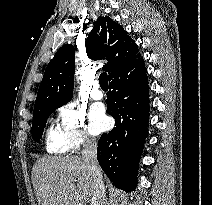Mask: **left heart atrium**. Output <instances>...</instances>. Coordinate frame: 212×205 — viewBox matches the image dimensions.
<instances>
[{"instance_id":"39dd6f15","label":"left heart atrium","mask_w":212,"mask_h":205,"mask_svg":"<svg viewBox=\"0 0 212 205\" xmlns=\"http://www.w3.org/2000/svg\"><path fill=\"white\" fill-rule=\"evenodd\" d=\"M110 121L101 105L94 106L90 111V125L93 133L98 134L109 127Z\"/></svg>"}]
</instances>
